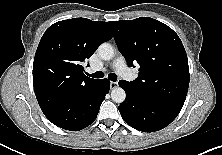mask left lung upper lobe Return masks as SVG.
I'll return each mask as SVG.
<instances>
[{"label":"left lung upper lobe","instance_id":"5c2ea615","mask_svg":"<svg viewBox=\"0 0 222 155\" xmlns=\"http://www.w3.org/2000/svg\"><path fill=\"white\" fill-rule=\"evenodd\" d=\"M118 49L128 66L140 65L136 80H121L136 93L182 108L189 86L184 46L170 27L149 17L112 21Z\"/></svg>","mask_w":222,"mask_h":155}]
</instances>
